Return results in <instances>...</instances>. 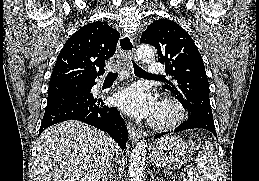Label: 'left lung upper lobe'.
I'll list each match as a JSON object with an SVG mask.
<instances>
[{
  "label": "left lung upper lobe",
  "mask_w": 259,
  "mask_h": 181,
  "mask_svg": "<svg viewBox=\"0 0 259 181\" xmlns=\"http://www.w3.org/2000/svg\"><path fill=\"white\" fill-rule=\"evenodd\" d=\"M141 42L158 50V61L174 80L162 87L171 91L191 116L213 120L205 66L190 35L176 22L159 19L143 32Z\"/></svg>",
  "instance_id": "5c2ea615"
}]
</instances>
